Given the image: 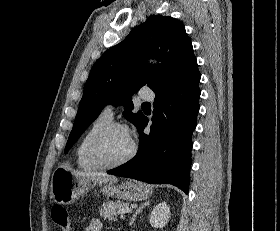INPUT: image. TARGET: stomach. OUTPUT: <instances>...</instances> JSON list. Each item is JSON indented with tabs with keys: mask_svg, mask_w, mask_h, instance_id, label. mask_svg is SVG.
<instances>
[{
	"mask_svg": "<svg viewBox=\"0 0 280 231\" xmlns=\"http://www.w3.org/2000/svg\"><path fill=\"white\" fill-rule=\"evenodd\" d=\"M95 185H99L100 191L110 197L116 195L119 199H127V201H141L148 199L152 191L139 181H123L120 185L114 183H98L91 181L87 177H78L74 175L70 169L59 165L52 173L51 177V197L56 203H71L74 199H78L84 195L89 189H93Z\"/></svg>",
	"mask_w": 280,
	"mask_h": 231,
	"instance_id": "0dacf381",
	"label": "stomach"
}]
</instances>
